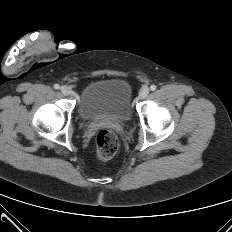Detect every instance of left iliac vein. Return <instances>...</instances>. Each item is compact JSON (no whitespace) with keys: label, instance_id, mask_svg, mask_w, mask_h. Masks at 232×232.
Listing matches in <instances>:
<instances>
[{"label":"left iliac vein","instance_id":"left-iliac-vein-1","mask_svg":"<svg viewBox=\"0 0 232 232\" xmlns=\"http://www.w3.org/2000/svg\"><path fill=\"white\" fill-rule=\"evenodd\" d=\"M149 88L147 86H143L141 89H140V92H139V95L141 98H146L149 94Z\"/></svg>","mask_w":232,"mask_h":232}]
</instances>
